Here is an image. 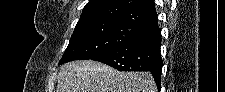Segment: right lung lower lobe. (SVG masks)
Listing matches in <instances>:
<instances>
[{
	"instance_id": "right-lung-lower-lobe-1",
	"label": "right lung lower lobe",
	"mask_w": 225,
	"mask_h": 92,
	"mask_svg": "<svg viewBox=\"0 0 225 92\" xmlns=\"http://www.w3.org/2000/svg\"><path fill=\"white\" fill-rule=\"evenodd\" d=\"M159 27L149 30L130 42L94 56L91 60L105 63L119 71H149L161 89L163 61L160 54Z\"/></svg>"
}]
</instances>
